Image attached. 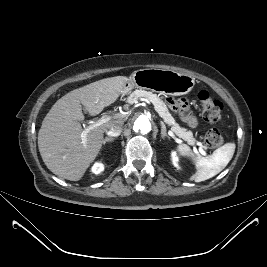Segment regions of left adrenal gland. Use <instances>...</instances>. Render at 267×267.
Returning <instances> with one entry per match:
<instances>
[{
  "mask_svg": "<svg viewBox=\"0 0 267 267\" xmlns=\"http://www.w3.org/2000/svg\"><path fill=\"white\" fill-rule=\"evenodd\" d=\"M160 124H161V136H162V138L163 139H165L166 137L169 138V136L167 135V132H166L165 124L162 121L160 122Z\"/></svg>",
  "mask_w": 267,
  "mask_h": 267,
  "instance_id": "left-adrenal-gland-1",
  "label": "left adrenal gland"
}]
</instances>
